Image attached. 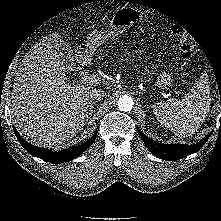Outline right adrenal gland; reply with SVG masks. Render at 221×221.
<instances>
[{
  "instance_id": "obj_1",
  "label": "right adrenal gland",
  "mask_w": 221,
  "mask_h": 221,
  "mask_svg": "<svg viewBox=\"0 0 221 221\" xmlns=\"http://www.w3.org/2000/svg\"><path fill=\"white\" fill-rule=\"evenodd\" d=\"M95 104H96V101H90V102L88 103V108H89V110H88L87 120L91 117V115H92V113H93V107H94Z\"/></svg>"
}]
</instances>
